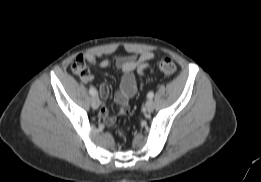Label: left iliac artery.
I'll use <instances>...</instances> for the list:
<instances>
[{
    "mask_svg": "<svg viewBox=\"0 0 261 182\" xmlns=\"http://www.w3.org/2000/svg\"><path fill=\"white\" fill-rule=\"evenodd\" d=\"M147 97H148L149 99H152V98L154 97V93H153V92H149V93L147 94Z\"/></svg>",
    "mask_w": 261,
    "mask_h": 182,
    "instance_id": "obj_1",
    "label": "left iliac artery"
}]
</instances>
